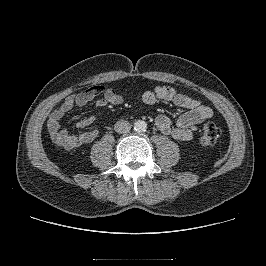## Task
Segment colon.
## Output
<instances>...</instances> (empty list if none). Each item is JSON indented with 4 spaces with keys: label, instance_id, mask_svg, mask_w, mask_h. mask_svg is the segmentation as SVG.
I'll return each instance as SVG.
<instances>
[{
    "label": "colon",
    "instance_id": "1",
    "mask_svg": "<svg viewBox=\"0 0 266 266\" xmlns=\"http://www.w3.org/2000/svg\"><path fill=\"white\" fill-rule=\"evenodd\" d=\"M103 92L102 86H94L88 90L89 96H95ZM221 136L220 128L214 123H205L200 131L199 143L202 146H212L216 144Z\"/></svg>",
    "mask_w": 266,
    "mask_h": 266
}]
</instances>
